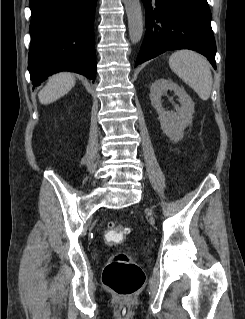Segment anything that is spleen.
Wrapping results in <instances>:
<instances>
[{"label":"spleen","mask_w":245,"mask_h":319,"mask_svg":"<svg viewBox=\"0 0 245 319\" xmlns=\"http://www.w3.org/2000/svg\"><path fill=\"white\" fill-rule=\"evenodd\" d=\"M169 66L202 100H208L212 90V74L205 57L192 50H179L169 58Z\"/></svg>","instance_id":"spleen-1"}]
</instances>
